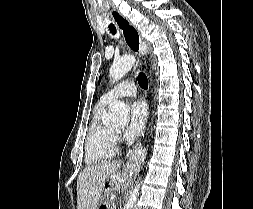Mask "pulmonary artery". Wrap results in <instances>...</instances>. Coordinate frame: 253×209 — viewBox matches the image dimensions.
Wrapping results in <instances>:
<instances>
[{
  "instance_id": "obj_1",
  "label": "pulmonary artery",
  "mask_w": 253,
  "mask_h": 209,
  "mask_svg": "<svg viewBox=\"0 0 253 209\" xmlns=\"http://www.w3.org/2000/svg\"><path fill=\"white\" fill-rule=\"evenodd\" d=\"M135 91V84L130 80H125L105 92L101 97V101L109 103L116 98L132 96L135 94Z\"/></svg>"
}]
</instances>
